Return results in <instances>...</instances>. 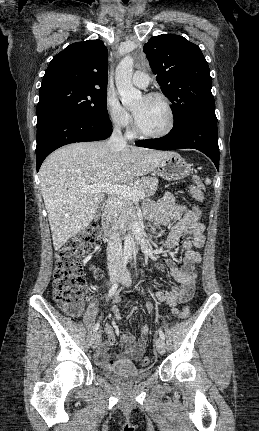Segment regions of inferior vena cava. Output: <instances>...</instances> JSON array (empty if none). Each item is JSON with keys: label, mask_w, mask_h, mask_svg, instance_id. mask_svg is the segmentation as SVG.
<instances>
[{"label": "inferior vena cava", "mask_w": 259, "mask_h": 431, "mask_svg": "<svg viewBox=\"0 0 259 431\" xmlns=\"http://www.w3.org/2000/svg\"><path fill=\"white\" fill-rule=\"evenodd\" d=\"M107 145L111 152H115L119 149H123L126 146V140L124 139L120 125H115L113 128L112 135L107 141ZM109 213L113 219V223L110 228L109 242L107 245V258L109 266L117 265L121 266L123 254H122V243L120 233L118 231L116 216L118 214V206L115 200L109 202Z\"/></svg>", "instance_id": "obj_1"}]
</instances>
